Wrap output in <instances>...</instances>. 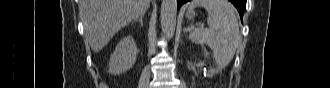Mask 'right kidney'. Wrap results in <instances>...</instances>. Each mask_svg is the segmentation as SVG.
I'll return each instance as SVG.
<instances>
[{
    "instance_id": "1",
    "label": "right kidney",
    "mask_w": 330,
    "mask_h": 88,
    "mask_svg": "<svg viewBox=\"0 0 330 88\" xmlns=\"http://www.w3.org/2000/svg\"><path fill=\"white\" fill-rule=\"evenodd\" d=\"M137 47L132 36H126L117 44L110 56L109 72L118 75L133 67L137 57Z\"/></svg>"
}]
</instances>
